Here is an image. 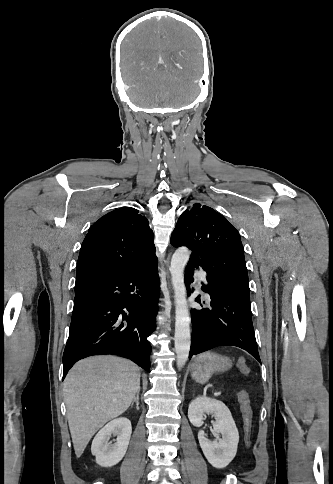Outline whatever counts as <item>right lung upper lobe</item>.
<instances>
[{
    "mask_svg": "<svg viewBox=\"0 0 333 484\" xmlns=\"http://www.w3.org/2000/svg\"><path fill=\"white\" fill-rule=\"evenodd\" d=\"M148 220L132 207L107 213L89 229L77 261L76 277L127 273L157 261Z\"/></svg>",
    "mask_w": 333,
    "mask_h": 484,
    "instance_id": "1",
    "label": "right lung upper lobe"
}]
</instances>
